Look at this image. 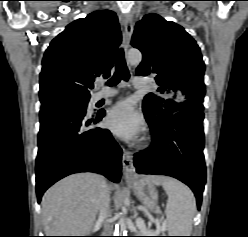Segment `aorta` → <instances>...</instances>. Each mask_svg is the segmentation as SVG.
<instances>
[{
    "label": "aorta",
    "instance_id": "762f6f07",
    "mask_svg": "<svg viewBox=\"0 0 248 237\" xmlns=\"http://www.w3.org/2000/svg\"><path fill=\"white\" fill-rule=\"evenodd\" d=\"M142 61V54L138 50H130L127 53V62L131 65H138ZM122 215V214H121ZM126 224H125V218L122 216L117 224L116 233L119 236V230H120V236L121 234H125Z\"/></svg>",
    "mask_w": 248,
    "mask_h": 237
}]
</instances>
